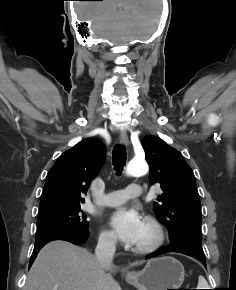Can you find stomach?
Here are the masks:
<instances>
[{
	"instance_id": "stomach-1",
	"label": "stomach",
	"mask_w": 236,
	"mask_h": 290,
	"mask_svg": "<svg viewBox=\"0 0 236 290\" xmlns=\"http://www.w3.org/2000/svg\"><path fill=\"white\" fill-rule=\"evenodd\" d=\"M184 267L177 259L163 256L151 259L138 272L126 275V281L138 290L179 289L184 281Z\"/></svg>"
}]
</instances>
